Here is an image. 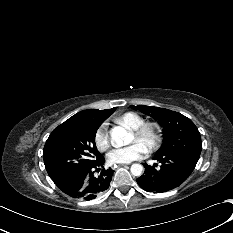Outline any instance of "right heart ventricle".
<instances>
[{"label":"right heart ventricle","mask_w":233,"mask_h":233,"mask_svg":"<svg viewBox=\"0 0 233 233\" xmlns=\"http://www.w3.org/2000/svg\"><path fill=\"white\" fill-rule=\"evenodd\" d=\"M145 121V118L133 111L125 112L114 119V122L122 125L128 129H134L141 125Z\"/></svg>","instance_id":"1"}]
</instances>
